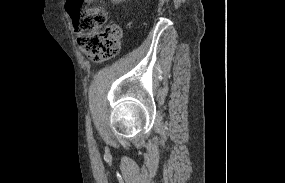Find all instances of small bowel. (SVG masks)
<instances>
[{
    "mask_svg": "<svg viewBox=\"0 0 285 183\" xmlns=\"http://www.w3.org/2000/svg\"><path fill=\"white\" fill-rule=\"evenodd\" d=\"M92 1H94V0H89V2H92Z\"/></svg>",
    "mask_w": 285,
    "mask_h": 183,
    "instance_id": "small-bowel-1",
    "label": "small bowel"
}]
</instances>
